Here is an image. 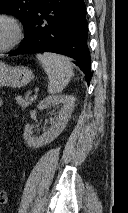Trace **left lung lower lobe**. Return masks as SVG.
Listing matches in <instances>:
<instances>
[{
    "mask_svg": "<svg viewBox=\"0 0 128 213\" xmlns=\"http://www.w3.org/2000/svg\"><path fill=\"white\" fill-rule=\"evenodd\" d=\"M88 23L84 0H39L25 38L10 56L54 52L75 59L90 81Z\"/></svg>",
    "mask_w": 128,
    "mask_h": 213,
    "instance_id": "left-lung-lower-lobe-1",
    "label": "left lung lower lobe"
}]
</instances>
